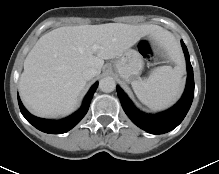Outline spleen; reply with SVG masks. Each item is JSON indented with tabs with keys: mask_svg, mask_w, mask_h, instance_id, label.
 Segmentation results:
<instances>
[{
	"mask_svg": "<svg viewBox=\"0 0 219 174\" xmlns=\"http://www.w3.org/2000/svg\"><path fill=\"white\" fill-rule=\"evenodd\" d=\"M183 72L179 66L153 69L148 78L134 80L131 85L138 99L147 107L160 110L172 105L183 90Z\"/></svg>",
	"mask_w": 219,
	"mask_h": 174,
	"instance_id": "1",
	"label": "spleen"
}]
</instances>
